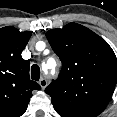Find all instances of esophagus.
Wrapping results in <instances>:
<instances>
[{
	"mask_svg": "<svg viewBox=\"0 0 117 117\" xmlns=\"http://www.w3.org/2000/svg\"><path fill=\"white\" fill-rule=\"evenodd\" d=\"M39 84H40L42 89H45V87L48 84V81H47V79L45 77H43V78L40 79Z\"/></svg>",
	"mask_w": 117,
	"mask_h": 117,
	"instance_id": "34e87169",
	"label": "esophagus"
}]
</instances>
